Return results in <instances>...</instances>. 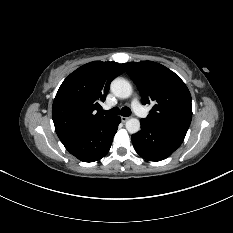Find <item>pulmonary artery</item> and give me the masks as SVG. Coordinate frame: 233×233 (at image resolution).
Here are the masks:
<instances>
[{
    "label": "pulmonary artery",
    "mask_w": 233,
    "mask_h": 233,
    "mask_svg": "<svg viewBox=\"0 0 233 233\" xmlns=\"http://www.w3.org/2000/svg\"><path fill=\"white\" fill-rule=\"evenodd\" d=\"M132 107H133V109L135 110V112L138 115H140V116L143 115V109H142V107H141L138 99H133V101H132Z\"/></svg>",
    "instance_id": "e3ab8cb5"
}]
</instances>
